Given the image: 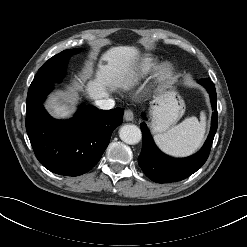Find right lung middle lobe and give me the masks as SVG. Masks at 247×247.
<instances>
[{"label": "right lung middle lobe", "mask_w": 247, "mask_h": 247, "mask_svg": "<svg viewBox=\"0 0 247 247\" xmlns=\"http://www.w3.org/2000/svg\"><path fill=\"white\" fill-rule=\"evenodd\" d=\"M79 49L65 50L50 58L37 72L31 86L42 88L49 83L60 82L65 74L67 62Z\"/></svg>", "instance_id": "dd1d6c3e"}]
</instances>
